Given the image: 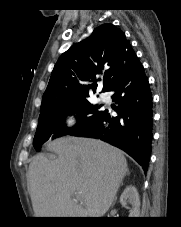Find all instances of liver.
Listing matches in <instances>:
<instances>
[{
    "mask_svg": "<svg viewBox=\"0 0 181 227\" xmlns=\"http://www.w3.org/2000/svg\"><path fill=\"white\" fill-rule=\"evenodd\" d=\"M58 157L40 154L29 165L36 217H101L127 171L123 152L101 140L63 137L47 144Z\"/></svg>",
    "mask_w": 181,
    "mask_h": 227,
    "instance_id": "obj_1",
    "label": "liver"
}]
</instances>
